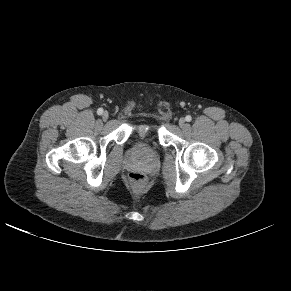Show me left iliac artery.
<instances>
[{
    "mask_svg": "<svg viewBox=\"0 0 291 291\" xmlns=\"http://www.w3.org/2000/svg\"><path fill=\"white\" fill-rule=\"evenodd\" d=\"M185 120H186L187 122H190V121L192 120V117H191L190 115H187V116L185 117Z\"/></svg>",
    "mask_w": 291,
    "mask_h": 291,
    "instance_id": "obj_1",
    "label": "left iliac artery"
}]
</instances>
